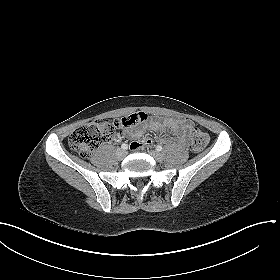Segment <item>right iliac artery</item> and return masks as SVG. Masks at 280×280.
<instances>
[{
    "instance_id": "obj_1",
    "label": "right iliac artery",
    "mask_w": 280,
    "mask_h": 280,
    "mask_svg": "<svg viewBox=\"0 0 280 280\" xmlns=\"http://www.w3.org/2000/svg\"><path fill=\"white\" fill-rule=\"evenodd\" d=\"M121 148H122L123 150H126V149L128 148V145L124 143V144L121 145Z\"/></svg>"
}]
</instances>
